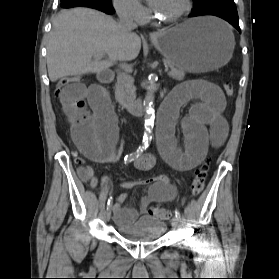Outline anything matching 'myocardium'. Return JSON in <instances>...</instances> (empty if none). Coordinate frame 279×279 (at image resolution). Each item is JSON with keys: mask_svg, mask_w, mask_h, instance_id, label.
<instances>
[{"mask_svg": "<svg viewBox=\"0 0 279 279\" xmlns=\"http://www.w3.org/2000/svg\"><path fill=\"white\" fill-rule=\"evenodd\" d=\"M192 0H184L183 7L172 17H160L157 14L154 15L155 19L161 23H175L184 18L191 10Z\"/></svg>", "mask_w": 279, "mask_h": 279, "instance_id": "1", "label": "myocardium"}]
</instances>
